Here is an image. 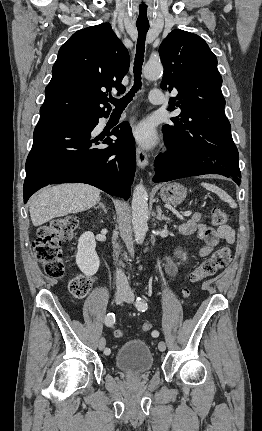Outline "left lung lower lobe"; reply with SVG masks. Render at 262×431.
Wrapping results in <instances>:
<instances>
[{
  "label": "left lung lower lobe",
  "instance_id": "1",
  "mask_svg": "<svg viewBox=\"0 0 262 431\" xmlns=\"http://www.w3.org/2000/svg\"><path fill=\"white\" fill-rule=\"evenodd\" d=\"M167 146L168 151L165 154L160 153L155 159L154 182L218 174L232 177L238 185L240 184L239 155L234 143L230 142L217 154L179 151L168 144Z\"/></svg>",
  "mask_w": 262,
  "mask_h": 431
}]
</instances>
